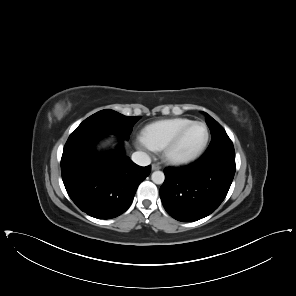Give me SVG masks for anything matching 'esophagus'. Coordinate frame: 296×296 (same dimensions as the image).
Listing matches in <instances>:
<instances>
[{
	"mask_svg": "<svg viewBox=\"0 0 296 296\" xmlns=\"http://www.w3.org/2000/svg\"><path fill=\"white\" fill-rule=\"evenodd\" d=\"M151 169L154 171V170H159L161 169V166L159 164H152L151 165Z\"/></svg>",
	"mask_w": 296,
	"mask_h": 296,
	"instance_id": "1",
	"label": "esophagus"
}]
</instances>
